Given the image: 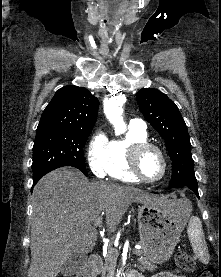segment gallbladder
Here are the masks:
<instances>
[{"mask_svg": "<svg viewBox=\"0 0 221 277\" xmlns=\"http://www.w3.org/2000/svg\"><path fill=\"white\" fill-rule=\"evenodd\" d=\"M87 256L83 254L73 253L68 260L64 262L61 267L60 273L64 277L72 276L78 273L81 268L86 264Z\"/></svg>", "mask_w": 221, "mask_h": 277, "instance_id": "obj_1", "label": "gallbladder"}]
</instances>
